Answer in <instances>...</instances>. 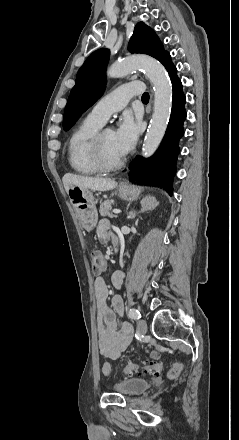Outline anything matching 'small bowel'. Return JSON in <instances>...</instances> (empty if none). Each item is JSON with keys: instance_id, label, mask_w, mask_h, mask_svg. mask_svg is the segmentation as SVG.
I'll return each instance as SVG.
<instances>
[{"instance_id": "small-bowel-1", "label": "small bowel", "mask_w": 239, "mask_h": 440, "mask_svg": "<svg viewBox=\"0 0 239 440\" xmlns=\"http://www.w3.org/2000/svg\"><path fill=\"white\" fill-rule=\"evenodd\" d=\"M97 236L102 243L117 244L118 238L107 220L100 221ZM124 274L117 271L112 276L115 288L120 289ZM97 306V333L101 355L110 359L119 358L131 342L133 331L127 322H119L117 316L124 312L122 298L115 295L112 307L107 304L108 288L103 277L96 278L94 283Z\"/></svg>"}]
</instances>
